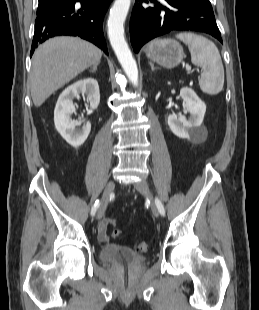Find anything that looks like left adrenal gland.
<instances>
[{
    "mask_svg": "<svg viewBox=\"0 0 259 310\" xmlns=\"http://www.w3.org/2000/svg\"><path fill=\"white\" fill-rule=\"evenodd\" d=\"M149 64H150L151 70L155 71L154 65L152 63H149Z\"/></svg>",
    "mask_w": 259,
    "mask_h": 310,
    "instance_id": "obj_1",
    "label": "left adrenal gland"
}]
</instances>
